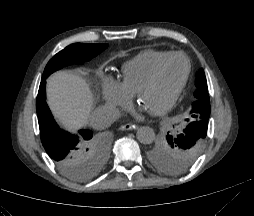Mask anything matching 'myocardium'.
I'll return each mask as SVG.
<instances>
[{
	"instance_id": "obj_1",
	"label": "myocardium",
	"mask_w": 254,
	"mask_h": 216,
	"mask_svg": "<svg viewBox=\"0 0 254 216\" xmlns=\"http://www.w3.org/2000/svg\"><path fill=\"white\" fill-rule=\"evenodd\" d=\"M176 57H181L185 60V62H186L185 73L183 75L182 80L180 81V83L178 84V86L174 90L173 94L171 95L170 99L168 100V102L163 107H161L160 109H157V110L153 111V113L155 115H163V114L167 113L176 104L180 94L182 93V91H183V89H184V87H185V85L188 81L189 75H190L191 63H190V60L188 59V57L185 54L181 53V52L170 53L167 57L162 59L154 67V69L151 72L150 76L148 77L147 81L141 86V88L136 93V98H137L138 101H140L143 93L146 92L148 89H150L156 83L163 66L167 62H169L171 59L176 58Z\"/></svg>"
}]
</instances>
